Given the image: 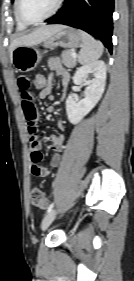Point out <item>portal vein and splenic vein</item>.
Wrapping results in <instances>:
<instances>
[{
  "label": "portal vein and splenic vein",
  "mask_w": 134,
  "mask_h": 281,
  "mask_svg": "<svg viewBox=\"0 0 134 281\" xmlns=\"http://www.w3.org/2000/svg\"><path fill=\"white\" fill-rule=\"evenodd\" d=\"M71 55H72L73 58H76V57H77V54H76L75 52H72Z\"/></svg>",
  "instance_id": "portal-vein-and-splenic-vein-1"
}]
</instances>
